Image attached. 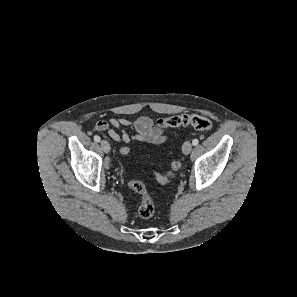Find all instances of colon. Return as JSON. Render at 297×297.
<instances>
[{
    "label": "colon",
    "instance_id": "5ec220e1",
    "mask_svg": "<svg viewBox=\"0 0 297 297\" xmlns=\"http://www.w3.org/2000/svg\"><path fill=\"white\" fill-rule=\"evenodd\" d=\"M157 123L162 129L192 127L195 130L201 132H209L212 129L211 121L208 118L198 114L174 115L160 119L157 121ZM129 151L130 148L127 146H122L120 148V153L122 155H127ZM180 167L181 163L178 160H173L170 165V173L168 175L157 173L155 174V178L159 183L167 184L171 181L174 174L180 169ZM129 187L141 196V204L138 209L139 216L143 219L152 217L154 214V204L145 184L138 180H131L129 182Z\"/></svg>",
    "mask_w": 297,
    "mask_h": 297
}]
</instances>
